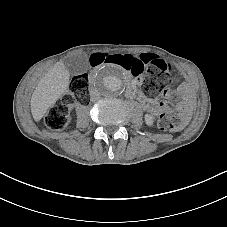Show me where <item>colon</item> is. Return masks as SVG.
I'll list each match as a JSON object with an SVG mask.
<instances>
[{"label": "colon", "instance_id": "5ec220e1", "mask_svg": "<svg viewBox=\"0 0 227 227\" xmlns=\"http://www.w3.org/2000/svg\"><path fill=\"white\" fill-rule=\"evenodd\" d=\"M107 63L115 64L132 76H140L146 72L143 79V90L147 95L177 94L176 89L169 88L168 76L172 73V67L158 55L151 53L138 56L124 53H97L91 57V64L94 66ZM174 77L177 78L176 75ZM87 88L88 77L86 74L74 76L68 92L48 110L45 116L47 127L57 130L65 126L72 106L87 103ZM182 121L180 115L162 113L158 119V127L164 131H174L181 126Z\"/></svg>", "mask_w": 227, "mask_h": 227}]
</instances>
